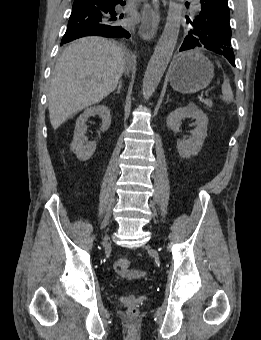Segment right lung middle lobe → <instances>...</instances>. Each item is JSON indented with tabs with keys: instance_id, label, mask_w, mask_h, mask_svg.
<instances>
[{
	"instance_id": "1",
	"label": "right lung middle lobe",
	"mask_w": 261,
	"mask_h": 340,
	"mask_svg": "<svg viewBox=\"0 0 261 340\" xmlns=\"http://www.w3.org/2000/svg\"><path fill=\"white\" fill-rule=\"evenodd\" d=\"M120 27H121V26H120ZM121 28H122V27H121ZM121 32L126 33V31H125L124 29H121ZM77 38H80V36H73V37H66V38H64V36H63V38H62V40H61V45H62V44H65V43H67V42L73 41V40H75V39H77Z\"/></svg>"
}]
</instances>
